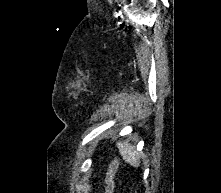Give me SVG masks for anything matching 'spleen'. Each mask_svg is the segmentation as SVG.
<instances>
[{
  "instance_id": "spleen-1",
  "label": "spleen",
  "mask_w": 221,
  "mask_h": 193,
  "mask_svg": "<svg viewBox=\"0 0 221 193\" xmlns=\"http://www.w3.org/2000/svg\"><path fill=\"white\" fill-rule=\"evenodd\" d=\"M117 147L125 162L135 167L139 166L140 156L139 153L135 150V146H132L128 142H118Z\"/></svg>"
}]
</instances>
